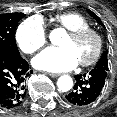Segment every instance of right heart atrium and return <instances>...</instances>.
Instances as JSON below:
<instances>
[{
  "label": "right heart atrium",
  "instance_id": "obj_1",
  "mask_svg": "<svg viewBox=\"0 0 117 117\" xmlns=\"http://www.w3.org/2000/svg\"><path fill=\"white\" fill-rule=\"evenodd\" d=\"M47 31L40 17H30L20 23L16 30V41L19 48L32 55L46 43Z\"/></svg>",
  "mask_w": 117,
  "mask_h": 117
}]
</instances>
